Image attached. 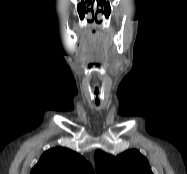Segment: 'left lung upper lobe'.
I'll list each match as a JSON object with an SVG mask.
<instances>
[{
    "label": "left lung upper lobe",
    "mask_w": 187,
    "mask_h": 174,
    "mask_svg": "<svg viewBox=\"0 0 187 174\" xmlns=\"http://www.w3.org/2000/svg\"><path fill=\"white\" fill-rule=\"evenodd\" d=\"M95 168L96 174H153L147 159L135 149L116 157L97 150Z\"/></svg>",
    "instance_id": "left-lung-upper-lobe-1"
}]
</instances>
